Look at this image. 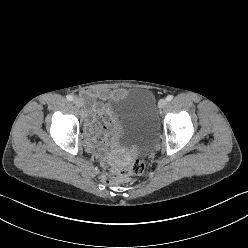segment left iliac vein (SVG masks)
<instances>
[{"label": "left iliac vein", "mask_w": 248, "mask_h": 248, "mask_svg": "<svg viewBox=\"0 0 248 248\" xmlns=\"http://www.w3.org/2000/svg\"><path fill=\"white\" fill-rule=\"evenodd\" d=\"M167 103H168L167 99H164V98L160 99V101L158 102V107L160 109H163L166 107Z\"/></svg>", "instance_id": "4c4485c4"}]
</instances>
